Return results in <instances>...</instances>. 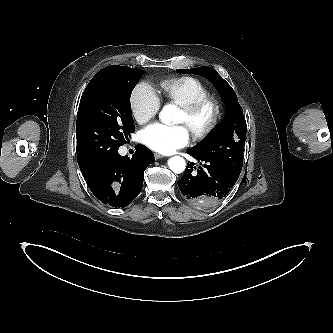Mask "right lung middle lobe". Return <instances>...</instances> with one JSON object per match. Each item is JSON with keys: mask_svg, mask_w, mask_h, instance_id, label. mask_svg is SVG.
<instances>
[{"mask_svg": "<svg viewBox=\"0 0 333 333\" xmlns=\"http://www.w3.org/2000/svg\"><path fill=\"white\" fill-rule=\"evenodd\" d=\"M144 73L126 66H110L99 71L87 85L76 125L81 171L117 153L135 131L130 96Z\"/></svg>", "mask_w": 333, "mask_h": 333, "instance_id": "right-lung-middle-lobe-1", "label": "right lung middle lobe"}]
</instances>
